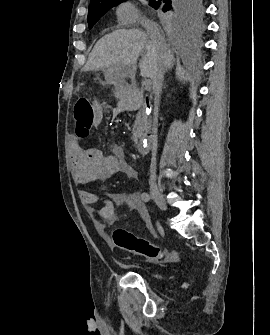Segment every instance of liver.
Returning a JSON list of instances; mask_svg holds the SVG:
<instances>
[{
  "mask_svg": "<svg viewBox=\"0 0 270 335\" xmlns=\"http://www.w3.org/2000/svg\"><path fill=\"white\" fill-rule=\"evenodd\" d=\"M145 52L139 64L143 78H152L156 70L168 68L172 64V52L167 44L158 46L141 30H115L96 42L84 70H104L114 68L120 72V78H131L137 70L138 56Z\"/></svg>",
  "mask_w": 270,
  "mask_h": 335,
  "instance_id": "liver-1",
  "label": "liver"
}]
</instances>
